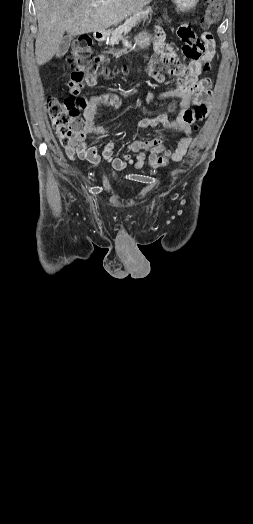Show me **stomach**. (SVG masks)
Returning <instances> with one entry per match:
<instances>
[{"label":"stomach","instance_id":"0dacf381","mask_svg":"<svg viewBox=\"0 0 253 524\" xmlns=\"http://www.w3.org/2000/svg\"><path fill=\"white\" fill-rule=\"evenodd\" d=\"M173 3L176 5L177 10L181 12H187L192 10L196 4L199 2V0H172ZM103 40H106V36H104ZM136 43L142 47L145 48L150 44L151 36L146 32H141L135 37Z\"/></svg>","mask_w":253,"mask_h":524}]
</instances>
